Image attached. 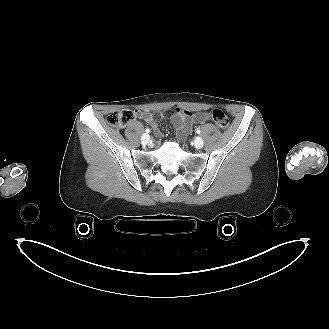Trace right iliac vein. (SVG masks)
<instances>
[{"instance_id": "obj_1", "label": "right iliac vein", "mask_w": 329, "mask_h": 329, "mask_svg": "<svg viewBox=\"0 0 329 329\" xmlns=\"http://www.w3.org/2000/svg\"><path fill=\"white\" fill-rule=\"evenodd\" d=\"M150 140V136L148 134H143L141 137V143L146 145Z\"/></svg>"}]
</instances>
